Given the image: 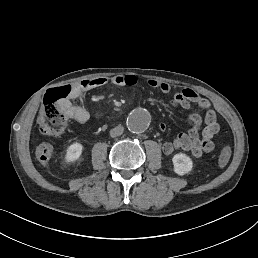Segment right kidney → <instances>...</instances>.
I'll list each match as a JSON object with an SVG mask.
<instances>
[{"mask_svg":"<svg viewBox=\"0 0 258 258\" xmlns=\"http://www.w3.org/2000/svg\"><path fill=\"white\" fill-rule=\"evenodd\" d=\"M82 147L79 144H73L68 150V159L74 160L77 159L81 154Z\"/></svg>","mask_w":258,"mask_h":258,"instance_id":"1","label":"right kidney"}]
</instances>
